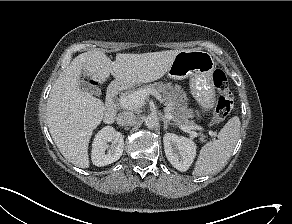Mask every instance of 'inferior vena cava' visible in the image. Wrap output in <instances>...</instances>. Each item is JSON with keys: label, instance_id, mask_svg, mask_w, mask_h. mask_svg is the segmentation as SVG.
<instances>
[{"label": "inferior vena cava", "instance_id": "inferior-vena-cava-1", "mask_svg": "<svg viewBox=\"0 0 292 224\" xmlns=\"http://www.w3.org/2000/svg\"><path fill=\"white\" fill-rule=\"evenodd\" d=\"M136 117L133 112L124 111L118 114L117 123L120 126H131L135 123Z\"/></svg>", "mask_w": 292, "mask_h": 224}]
</instances>
